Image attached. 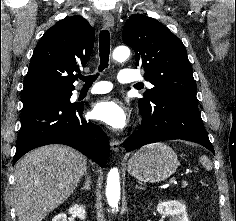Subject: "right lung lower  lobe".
<instances>
[{
    "instance_id": "98d812e1",
    "label": "right lung lower lobe",
    "mask_w": 236,
    "mask_h": 221,
    "mask_svg": "<svg viewBox=\"0 0 236 221\" xmlns=\"http://www.w3.org/2000/svg\"><path fill=\"white\" fill-rule=\"evenodd\" d=\"M82 113L83 104H72L70 100L40 99L23 103L13 164L34 148L64 144L104 167L109 153L108 137L97 125L87 122Z\"/></svg>"
}]
</instances>
